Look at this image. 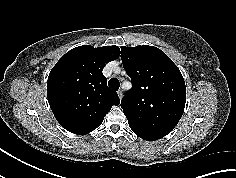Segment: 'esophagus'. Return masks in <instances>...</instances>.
I'll return each instance as SVG.
<instances>
[{"mask_svg": "<svg viewBox=\"0 0 236 178\" xmlns=\"http://www.w3.org/2000/svg\"><path fill=\"white\" fill-rule=\"evenodd\" d=\"M117 94H118L119 99H122V91H121V90H118V91H117Z\"/></svg>", "mask_w": 236, "mask_h": 178, "instance_id": "1", "label": "esophagus"}]
</instances>
